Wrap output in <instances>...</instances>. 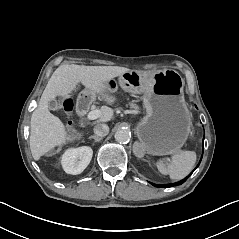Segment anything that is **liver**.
<instances>
[{"mask_svg": "<svg viewBox=\"0 0 239 239\" xmlns=\"http://www.w3.org/2000/svg\"><path fill=\"white\" fill-rule=\"evenodd\" d=\"M125 67L119 66H84V65H61L59 66L44 89L38 107L31 116L30 150L34 160L62 145L69 140L65 127L61 120L50 113L48 101L56 96L69 97L77 82L82 83L102 98L112 104L115 97L104 92L106 82L117 76L129 72ZM113 117V110L102 109V114L97 122H107ZM77 137H80L78 135Z\"/></svg>", "mask_w": 239, "mask_h": 239, "instance_id": "liver-1", "label": "liver"}]
</instances>
